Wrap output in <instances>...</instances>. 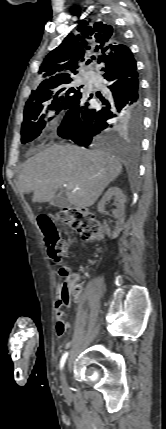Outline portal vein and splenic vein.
I'll return each instance as SVG.
<instances>
[{
  "label": "portal vein and splenic vein",
  "instance_id": "obj_1",
  "mask_svg": "<svg viewBox=\"0 0 166 429\" xmlns=\"http://www.w3.org/2000/svg\"><path fill=\"white\" fill-rule=\"evenodd\" d=\"M64 186H65V187H71L69 184H65Z\"/></svg>",
  "mask_w": 166,
  "mask_h": 429
}]
</instances>
